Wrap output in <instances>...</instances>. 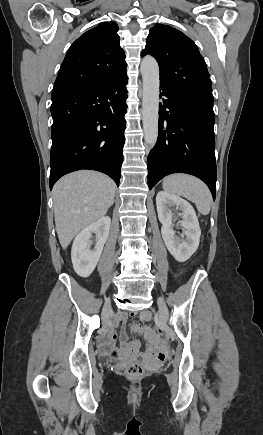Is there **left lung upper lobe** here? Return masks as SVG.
I'll list each match as a JSON object with an SVG mask.
<instances>
[{"instance_id":"obj_1","label":"left lung upper lobe","mask_w":263,"mask_h":435,"mask_svg":"<svg viewBox=\"0 0 263 435\" xmlns=\"http://www.w3.org/2000/svg\"><path fill=\"white\" fill-rule=\"evenodd\" d=\"M146 54L159 64L160 83L213 99L206 63L195 43L181 31L156 24L141 55Z\"/></svg>"}]
</instances>
